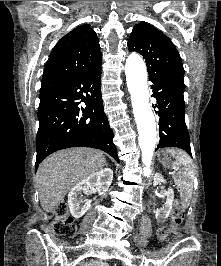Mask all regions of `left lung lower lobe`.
Returning <instances> with one entry per match:
<instances>
[{"label": "left lung lower lobe", "instance_id": "left-lung-lower-lobe-1", "mask_svg": "<svg viewBox=\"0 0 221 266\" xmlns=\"http://www.w3.org/2000/svg\"><path fill=\"white\" fill-rule=\"evenodd\" d=\"M149 80L152 82V97L157 100L155 106L158 111L156 113L160 117V141L156 150L163 147H178L192 156L189 133L185 123L184 88L158 78Z\"/></svg>", "mask_w": 221, "mask_h": 266}]
</instances>
